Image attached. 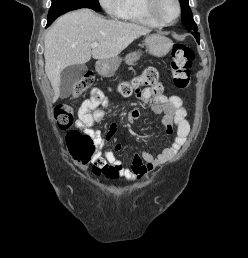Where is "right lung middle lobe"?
Instances as JSON below:
<instances>
[{"label": "right lung middle lobe", "mask_w": 248, "mask_h": 258, "mask_svg": "<svg viewBox=\"0 0 248 258\" xmlns=\"http://www.w3.org/2000/svg\"><path fill=\"white\" fill-rule=\"evenodd\" d=\"M80 8H91L95 11H100V4L98 0H52L48 21L55 20L68 11Z\"/></svg>", "instance_id": "right-lung-middle-lobe-1"}]
</instances>
